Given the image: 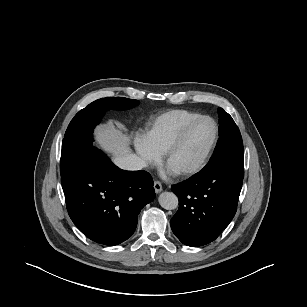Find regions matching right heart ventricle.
I'll return each instance as SVG.
<instances>
[{"mask_svg": "<svg viewBox=\"0 0 307 307\" xmlns=\"http://www.w3.org/2000/svg\"><path fill=\"white\" fill-rule=\"evenodd\" d=\"M198 116L201 114L184 109L167 111L151 122L145 138L156 152L162 154L179 130Z\"/></svg>", "mask_w": 307, "mask_h": 307, "instance_id": "e07e8e85", "label": "right heart ventricle"}]
</instances>
